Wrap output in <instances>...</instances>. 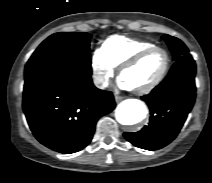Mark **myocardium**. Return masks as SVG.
Wrapping results in <instances>:
<instances>
[{"label": "myocardium", "mask_w": 212, "mask_h": 183, "mask_svg": "<svg viewBox=\"0 0 212 183\" xmlns=\"http://www.w3.org/2000/svg\"><path fill=\"white\" fill-rule=\"evenodd\" d=\"M158 50L163 51L165 54V63H164V67H163L162 71L157 76V78L155 80H153L151 83H149L141 88H130L129 90H131L133 93L138 94V95H143V94H147V93L153 91L155 88H157L162 83V81L165 79L166 75L168 74V71H169L170 65H171V55L167 48H165L163 46H159V45H154V46H151V47H148V48H145V49L139 51L138 53H136L134 56L129 58L127 61H125L120 66L119 77H121L122 74L126 70L136 66L147 55H149L150 53H152L154 51H158Z\"/></svg>", "instance_id": "myocardium-1"}]
</instances>
